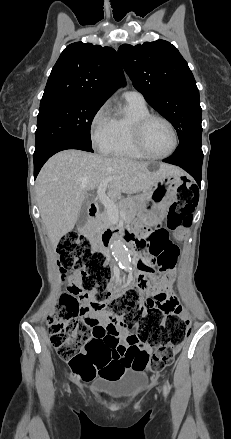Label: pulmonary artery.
Instances as JSON below:
<instances>
[{"label":"pulmonary artery","mask_w":231,"mask_h":439,"mask_svg":"<svg viewBox=\"0 0 231 439\" xmlns=\"http://www.w3.org/2000/svg\"><path fill=\"white\" fill-rule=\"evenodd\" d=\"M126 100L145 102L144 96L137 90H128L124 93Z\"/></svg>","instance_id":"pulmonary-artery-1"}]
</instances>
